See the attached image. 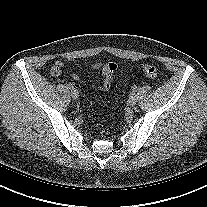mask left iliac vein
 I'll list each match as a JSON object with an SVG mask.
<instances>
[{"mask_svg": "<svg viewBox=\"0 0 207 207\" xmlns=\"http://www.w3.org/2000/svg\"><path fill=\"white\" fill-rule=\"evenodd\" d=\"M136 102H137V95L135 93H131L127 101L128 105L134 106Z\"/></svg>", "mask_w": 207, "mask_h": 207, "instance_id": "4c4485c4", "label": "left iliac vein"}]
</instances>
